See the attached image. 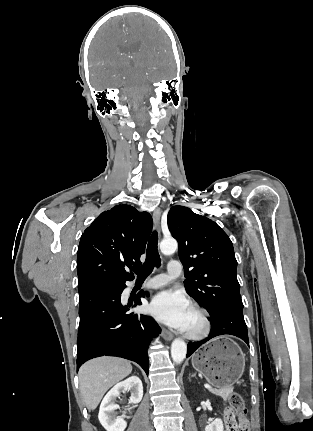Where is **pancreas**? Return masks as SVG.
<instances>
[{
	"instance_id": "cf45deb5",
	"label": "pancreas",
	"mask_w": 313,
	"mask_h": 431,
	"mask_svg": "<svg viewBox=\"0 0 313 431\" xmlns=\"http://www.w3.org/2000/svg\"><path fill=\"white\" fill-rule=\"evenodd\" d=\"M209 391L217 396H220L223 398V400H228L230 395L233 393V388H224V389H213L210 388Z\"/></svg>"
}]
</instances>
